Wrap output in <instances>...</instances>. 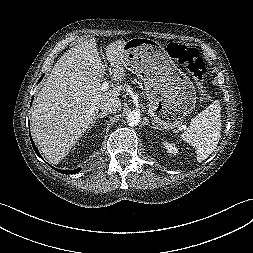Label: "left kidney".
I'll use <instances>...</instances> for the list:
<instances>
[{
    "instance_id": "obj_1",
    "label": "left kidney",
    "mask_w": 253,
    "mask_h": 253,
    "mask_svg": "<svg viewBox=\"0 0 253 253\" xmlns=\"http://www.w3.org/2000/svg\"><path fill=\"white\" fill-rule=\"evenodd\" d=\"M164 146L168 153L173 154V155L178 154V148L176 147L174 143L165 142Z\"/></svg>"
}]
</instances>
